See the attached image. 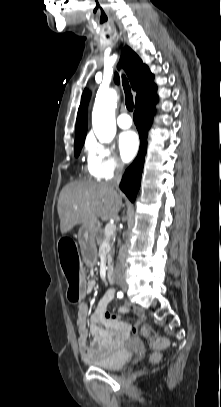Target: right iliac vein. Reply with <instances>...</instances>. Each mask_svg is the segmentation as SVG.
Masks as SVG:
<instances>
[{"label": "right iliac vein", "instance_id": "1", "mask_svg": "<svg viewBox=\"0 0 221 407\" xmlns=\"http://www.w3.org/2000/svg\"><path fill=\"white\" fill-rule=\"evenodd\" d=\"M120 287L122 288L123 291L127 290V286L125 283H120Z\"/></svg>", "mask_w": 221, "mask_h": 407}]
</instances>
